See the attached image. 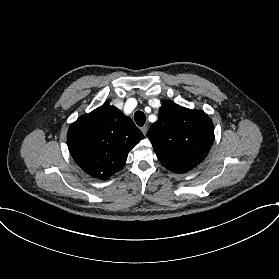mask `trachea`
I'll list each match as a JSON object with an SVG mask.
<instances>
[{"mask_svg":"<svg viewBox=\"0 0 279 279\" xmlns=\"http://www.w3.org/2000/svg\"><path fill=\"white\" fill-rule=\"evenodd\" d=\"M134 119L138 126H143L146 122V116L142 111H136Z\"/></svg>","mask_w":279,"mask_h":279,"instance_id":"1","label":"trachea"}]
</instances>
